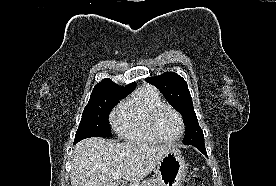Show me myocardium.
<instances>
[{
    "mask_svg": "<svg viewBox=\"0 0 276 186\" xmlns=\"http://www.w3.org/2000/svg\"><path fill=\"white\" fill-rule=\"evenodd\" d=\"M165 109L171 110L178 117L180 125H181V131H180L179 135L177 137L173 138V139L164 138L159 133V131L157 129V119H158L160 113ZM149 125H150V129H151L152 134L160 142L167 143V144H171V143H175V142L179 141L184 136L185 129H186L185 121H184V118H183L182 114L176 108H174L173 106L165 104V103L158 106V107H156L153 110V112L151 113V116H150Z\"/></svg>",
    "mask_w": 276,
    "mask_h": 186,
    "instance_id": "myocardium-1",
    "label": "myocardium"
}]
</instances>
